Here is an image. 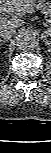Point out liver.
Here are the masks:
<instances>
[{
  "mask_svg": "<svg viewBox=\"0 0 51 153\" xmlns=\"http://www.w3.org/2000/svg\"><path fill=\"white\" fill-rule=\"evenodd\" d=\"M36 0H0V11L8 14L20 15L21 13L31 14L34 12ZM24 21L19 18L1 19L2 24L20 27L24 25Z\"/></svg>",
  "mask_w": 51,
  "mask_h": 153,
  "instance_id": "liver-1",
  "label": "liver"
}]
</instances>
